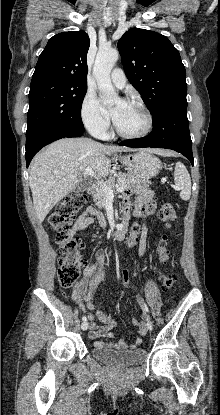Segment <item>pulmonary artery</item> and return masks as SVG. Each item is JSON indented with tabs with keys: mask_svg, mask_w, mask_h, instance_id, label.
<instances>
[{
	"mask_svg": "<svg viewBox=\"0 0 220 415\" xmlns=\"http://www.w3.org/2000/svg\"><path fill=\"white\" fill-rule=\"evenodd\" d=\"M111 80L113 82V84L117 87V88H123L126 84V77L124 72L119 69L116 68L112 71L111 73Z\"/></svg>",
	"mask_w": 220,
	"mask_h": 415,
	"instance_id": "1",
	"label": "pulmonary artery"
}]
</instances>
